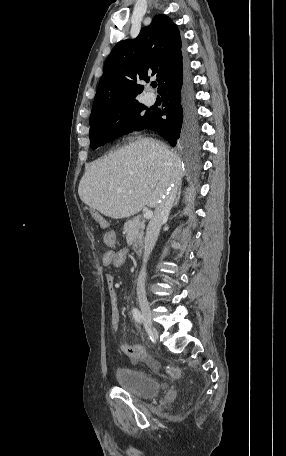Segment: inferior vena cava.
<instances>
[{
    "label": "inferior vena cava",
    "instance_id": "obj_1",
    "mask_svg": "<svg viewBox=\"0 0 286 456\" xmlns=\"http://www.w3.org/2000/svg\"><path fill=\"white\" fill-rule=\"evenodd\" d=\"M176 196V191L172 188H169L167 191H164L160 195L158 204L155 207L154 215L149 221L146 230V236L144 241V254H143V264L141 271L137 279V295L145 296V281H146V264L149 259V256L156 244L160 228L163 223L168 219L171 207L173 205L174 199Z\"/></svg>",
    "mask_w": 286,
    "mask_h": 456
}]
</instances>
